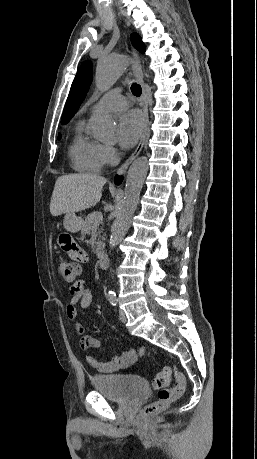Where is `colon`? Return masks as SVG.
Listing matches in <instances>:
<instances>
[{
  "label": "colon",
  "mask_w": 257,
  "mask_h": 459,
  "mask_svg": "<svg viewBox=\"0 0 257 459\" xmlns=\"http://www.w3.org/2000/svg\"><path fill=\"white\" fill-rule=\"evenodd\" d=\"M57 270L67 283H74L80 274L81 264H69L68 259H64L58 262ZM172 374L170 367H164L155 375L152 385L158 390V398L144 409L145 416H152L164 410L185 391L186 378L180 372H174L176 385L169 388Z\"/></svg>",
  "instance_id": "5ec220e1"
}]
</instances>
